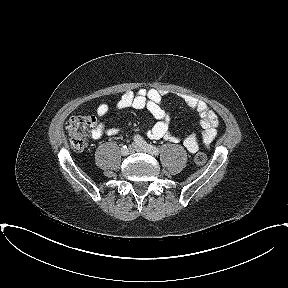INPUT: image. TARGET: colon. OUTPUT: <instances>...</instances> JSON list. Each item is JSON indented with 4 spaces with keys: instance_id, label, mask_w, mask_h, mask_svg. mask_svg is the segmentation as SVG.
<instances>
[{
    "instance_id": "5ec220e1",
    "label": "colon",
    "mask_w": 288,
    "mask_h": 288,
    "mask_svg": "<svg viewBox=\"0 0 288 288\" xmlns=\"http://www.w3.org/2000/svg\"><path fill=\"white\" fill-rule=\"evenodd\" d=\"M96 125V117L92 115L72 116L66 123L70 142L74 149H83L88 137L92 135ZM194 161L197 165H204L207 157L203 152H198Z\"/></svg>"
}]
</instances>
